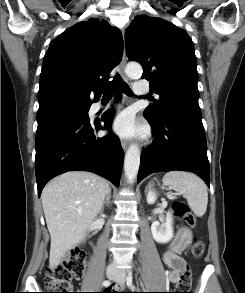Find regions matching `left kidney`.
Returning <instances> with one entry per match:
<instances>
[{
	"instance_id": "1",
	"label": "left kidney",
	"mask_w": 245,
	"mask_h": 293,
	"mask_svg": "<svg viewBox=\"0 0 245 293\" xmlns=\"http://www.w3.org/2000/svg\"><path fill=\"white\" fill-rule=\"evenodd\" d=\"M157 199L155 192L149 191L147 195V203L154 204ZM173 218L172 213L167 212L166 221L160 224L155 221L151 225V232L154 240L158 243H168L173 238Z\"/></svg>"
}]
</instances>
